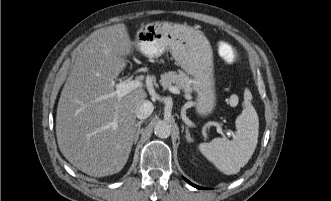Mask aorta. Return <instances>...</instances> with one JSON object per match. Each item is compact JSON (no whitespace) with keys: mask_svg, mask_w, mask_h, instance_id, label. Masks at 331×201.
<instances>
[{"mask_svg":"<svg viewBox=\"0 0 331 201\" xmlns=\"http://www.w3.org/2000/svg\"><path fill=\"white\" fill-rule=\"evenodd\" d=\"M154 133L159 138H167L171 134V126L168 122L160 120L154 127Z\"/></svg>","mask_w":331,"mask_h":201,"instance_id":"obj_1","label":"aorta"}]
</instances>
